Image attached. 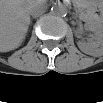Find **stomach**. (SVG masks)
I'll list each match as a JSON object with an SVG mask.
<instances>
[{
    "instance_id": "0dacf381",
    "label": "stomach",
    "mask_w": 103,
    "mask_h": 103,
    "mask_svg": "<svg viewBox=\"0 0 103 103\" xmlns=\"http://www.w3.org/2000/svg\"><path fill=\"white\" fill-rule=\"evenodd\" d=\"M79 6L84 7V8H92L93 4L90 1L87 0H81L78 3Z\"/></svg>"
}]
</instances>
